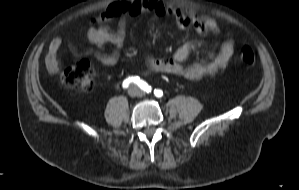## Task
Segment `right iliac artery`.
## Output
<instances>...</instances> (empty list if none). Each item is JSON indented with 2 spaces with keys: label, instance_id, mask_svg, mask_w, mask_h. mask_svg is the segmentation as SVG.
<instances>
[{
  "label": "right iliac artery",
  "instance_id": "1",
  "mask_svg": "<svg viewBox=\"0 0 299 190\" xmlns=\"http://www.w3.org/2000/svg\"><path fill=\"white\" fill-rule=\"evenodd\" d=\"M131 82L136 83L142 90L146 92L151 91V86H149L145 81L141 80L138 76L129 77L123 81V87L127 88Z\"/></svg>",
  "mask_w": 299,
  "mask_h": 190
}]
</instances>
